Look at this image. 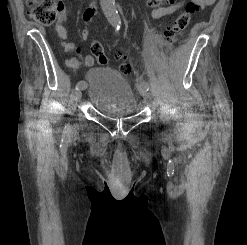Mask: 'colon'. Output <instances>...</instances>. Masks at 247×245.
<instances>
[{
  "label": "colon",
  "mask_w": 247,
  "mask_h": 245,
  "mask_svg": "<svg viewBox=\"0 0 247 245\" xmlns=\"http://www.w3.org/2000/svg\"><path fill=\"white\" fill-rule=\"evenodd\" d=\"M26 3L30 8V16L36 22L45 26H50L57 20L60 9V0H26ZM199 8L200 5L196 0H192L186 5L184 10L171 21L163 34V42L166 45L172 43L188 26L192 16ZM91 52L96 56L99 64L106 65L108 63V58L103 53L101 44L98 41L92 42ZM123 57L124 56L120 53L119 59H123ZM119 68L123 74L128 75L131 72V67L127 63H121Z\"/></svg>",
  "instance_id": "obj_1"
}]
</instances>
